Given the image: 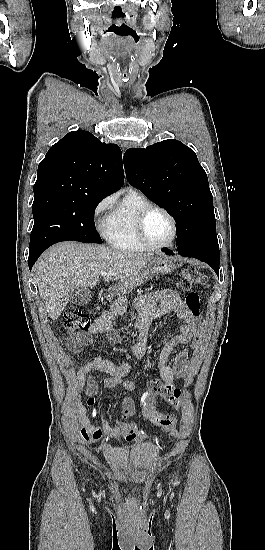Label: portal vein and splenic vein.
Here are the masks:
<instances>
[{
	"label": "portal vein and splenic vein",
	"mask_w": 265,
	"mask_h": 550,
	"mask_svg": "<svg viewBox=\"0 0 265 550\" xmlns=\"http://www.w3.org/2000/svg\"><path fill=\"white\" fill-rule=\"evenodd\" d=\"M106 275H107V273H106V272H103V273H102V276H106Z\"/></svg>",
	"instance_id": "1"
}]
</instances>
